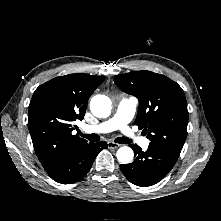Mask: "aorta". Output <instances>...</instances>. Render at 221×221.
Returning <instances> with one entry per match:
<instances>
[{
    "instance_id": "1",
    "label": "aorta",
    "mask_w": 221,
    "mask_h": 221,
    "mask_svg": "<svg viewBox=\"0 0 221 221\" xmlns=\"http://www.w3.org/2000/svg\"><path fill=\"white\" fill-rule=\"evenodd\" d=\"M112 109V102L109 97L105 95H95L90 101V110L93 115L98 118L107 117ZM117 159L122 164L132 162L134 157L133 150L128 146L120 147L117 151Z\"/></svg>"
}]
</instances>
